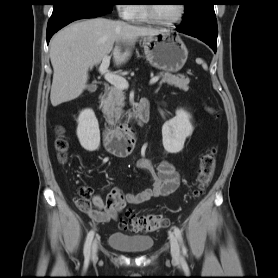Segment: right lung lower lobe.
I'll return each instance as SVG.
<instances>
[{
    "label": "right lung lower lobe",
    "mask_w": 278,
    "mask_h": 278,
    "mask_svg": "<svg viewBox=\"0 0 278 278\" xmlns=\"http://www.w3.org/2000/svg\"><path fill=\"white\" fill-rule=\"evenodd\" d=\"M104 14L106 13L82 7H69L61 10L49 19L47 26V43L50 41L55 32L67 24L78 19L95 18L103 16Z\"/></svg>",
    "instance_id": "obj_1"
}]
</instances>
